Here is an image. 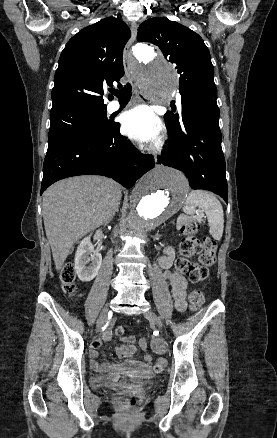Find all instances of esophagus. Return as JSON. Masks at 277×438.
Returning a JSON list of instances; mask_svg holds the SVG:
<instances>
[{
  "label": "esophagus",
  "mask_w": 277,
  "mask_h": 438,
  "mask_svg": "<svg viewBox=\"0 0 277 438\" xmlns=\"http://www.w3.org/2000/svg\"><path fill=\"white\" fill-rule=\"evenodd\" d=\"M131 32H132L131 39L127 43V45L125 47V50H124V58L132 57L131 46L135 42L136 35H137V25H136L135 22H133L132 25H131ZM135 93H136L137 98L139 100H144L145 95L142 93L141 90H139L138 88H135Z\"/></svg>",
  "instance_id": "1"
}]
</instances>
